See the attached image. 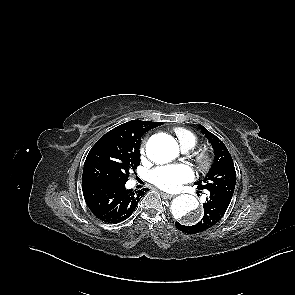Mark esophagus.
I'll use <instances>...</instances> for the list:
<instances>
[{"label":"esophagus","mask_w":295,"mask_h":295,"mask_svg":"<svg viewBox=\"0 0 295 295\" xmlns=\"http://www.w3.org/2000/svg\"><path fill=\"white\" fill-rule=\"evenodd\" d=\"M161 195L164 197V198H167V199H171L173 198L175 195H172V194H167L165 192H161Z\"/></svg>","instance_id":"obj_1"}]
</instances>
